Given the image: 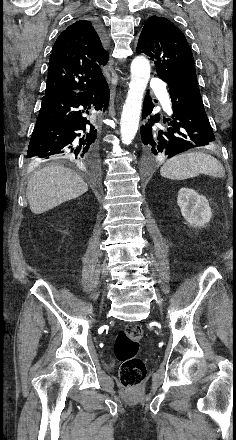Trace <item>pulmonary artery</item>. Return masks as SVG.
Wrapping results in <instances>:
<instances>
[{
    "label": "pulmonary artery",
    "mask_w": 236,
    "mask_h": 440,
    "mask_svg": "<svg viewBox=\"0 0 236 440\" xmlns=\"http://www.w3.org/2000/svg\"><path fill=\"white\" fill-rule=\"evenodd\" d=\"M153 88L161 93V100L165 106V108L170 111V101H169V95L167 93L165 82L162 80H155L153 82Z\"/></svg>",
    "instance_id": "obj_1"
}]
</instances>
